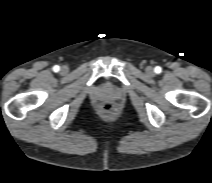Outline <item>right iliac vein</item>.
<instances>
[{"mask_svg": "<svg viewBox=\"0 0 212 183\" xmlns=\"http://www.w3.org/2000/svg\"><path fill=\"white\" fill-rule=\"evenodd\" d=\"M60 70H61V73H62V74H67L68 71H69V69H68L67 66H62Z\"/></svg>", "mask_w": 212, "mask_h": 183, "instance_id": "1", "label": "right iliac vein"}]
</instances>
